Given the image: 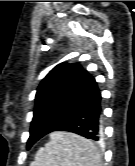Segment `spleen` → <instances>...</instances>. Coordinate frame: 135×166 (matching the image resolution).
Segmentation results:
<instances>
[{
	"label": "spleen",
	"mask_w": 135,
	"mask_h": 166,
	"mask_svg": "<svg viewBox=\"0 0 135 166\" xmlns=\"http://www.w3.org/2000/svg\"><path fill=\"white\" fill-rule=\"evenodd\" d=\"M31 166H102L96 145L79 135L53 132L41 147Z\"/></svg>",
	"instance_id": "3e777b00"
}]
</instances>
